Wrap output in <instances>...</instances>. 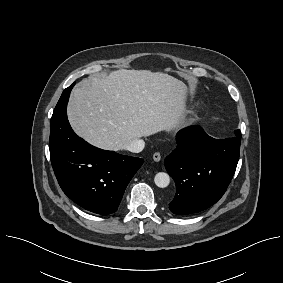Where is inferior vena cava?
<instances>
[{
  "mask_svg": "<svg viewBox=\"0 0 283 283\" xmlns=\"http://www.w3.org/2000/svg\"><path fill=\"white\" fill-rule=\"evenodd\" d=\"M144 146L145 142L142 139H136L126 146V150L133 153H139L143 150Z\"/></svg>",
  "mask_w": 283,
  "mask_h": 283,
  "instance_id": "inferior-vena-cava-1",
  "label": "inferior vena cava"
}]
</instances>
